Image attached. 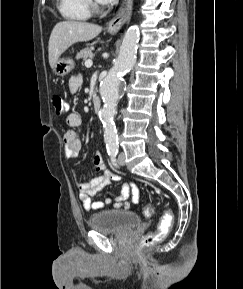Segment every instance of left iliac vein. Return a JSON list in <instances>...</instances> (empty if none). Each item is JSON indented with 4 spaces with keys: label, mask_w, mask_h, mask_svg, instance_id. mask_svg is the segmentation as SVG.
Here are the masks:
<instances>
[{
    "label": "left iliac vein",
    "mask_w": 243,
    "mask_h": 289,
    "mask_svg": "<svg viewBox=\"0 0 243 289\" xmlns=\"http://www.w3.org/2000/svg\"><path fill=\"white\" fill-rule=\"evenodd\" d=\"M118 163L120 165H124L125 164V154L122 152L119 154L118 156Z\"/></svg>",
    "instance_id": "left-iliac-vein-1"
}]
</instances>
